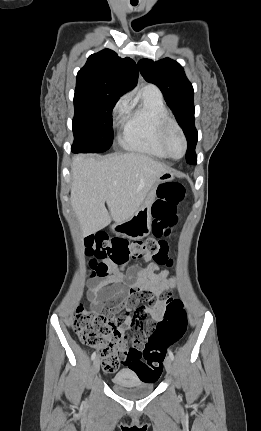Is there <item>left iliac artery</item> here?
Returning a JSON list of instances; mask_svg holds the SVG:
<instances>
[{
  "instance_id": "1",
  "label": "left iliac artery",
  "mask_w": 261,
  "mask_h": 431,
  "mask_svg": "<svg viewBox=\"0 0 261 431\" xmlns=\"http://www.w3.org/2000/svg\"><path fill=\"white\" fill-rule=\"evenodd\" d=\"M168 354L171 360H174V355L171 350H168Z\"/></svg>"
}]
</instances>
